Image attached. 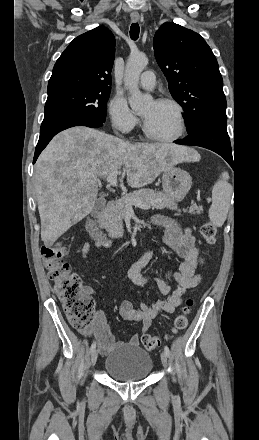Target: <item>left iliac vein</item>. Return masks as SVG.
<instances>
[{
  "instance_id": "4c4485c4",
  "label": "left iliac vein",
  "mask_w": 259,
  "mask_h": 440,
  "mask_svg": "<svg viewBox=\"0 0 259 440\" xmlns=\"http://www.w3.org/2000/svg\"><path fill=\"white\" fill-rule=\"evenodd\" d=\"M161 362L164 367L167 366L168 358H167V354L165 353V351L161 353Z\"/></svg>"
}]
</instances>
